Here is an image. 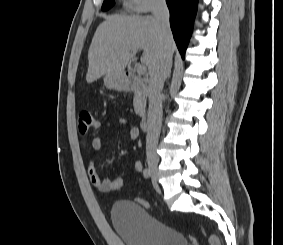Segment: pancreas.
<instances>
[{
	"mask_svg": "<svg viewBox=\"0 0 283 245\" xmlns=\"http://www.w3.org/2000/svg\"><path fill=\"white\" fill-rule=\"evenodd\" d=\"M134 110L137 115H143L146 106V93L135 92L133 98Z\"/></svg>",
	"mask_w": 283,
	"mask_h": 245,
	"instance_id": "cf45deb5",
	"label": "pancreas"
}]
</instances>
